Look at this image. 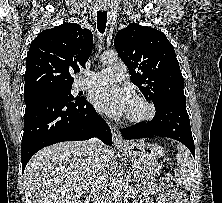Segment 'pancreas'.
<instances>
[{"instance_id": "cf45deb5", "label": "pancreas", "mask_w": 222, "mask_h": 203, "mask_svg": "<svg viewBox=\"0 0 222 203\" xmlns=\"http://www.w3.org/2000/svg\"><path fill=\"white\" fill-rule=\"evenodd\" d=\"M134 166L136 169L133 171L136 180H142L150 175H160L161 168L163 167L159 163H154L151 161H140L135 160Z\"/></svg>"}]
</instances>
